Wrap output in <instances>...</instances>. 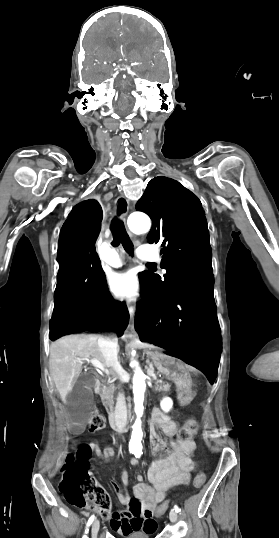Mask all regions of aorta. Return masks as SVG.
Instances as JSON below:
<instances>
[{"instance_id": "1", "label": "aorta", "mask_w": 279, "mask_h": 538, "mask_svg": "<svg viewBox=\"0 0 279 538\" xmlns=\"http://www.w3.org/2000/svg\"><path fill=\"white\" fill-rule=\"evenodd\" d=\"M128 226L130 230L136 234L147 233L151 228L150 218L142 213H132L128 217ZM133 364L136 366L133 376V394H134V403H135V413L137 419L133 425L132 435L129 442L130 449H141L142 448V429H141V416L143 414V401L144 393L146 390L145 379L146 376L139 367L138 362L134 361Z\"/></svg>"}]
</instances>
